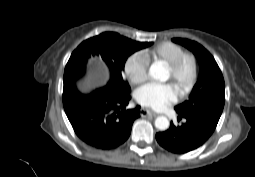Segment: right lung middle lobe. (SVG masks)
I'll return each instance as SVG.
<instances>
[{"label": "right lung middle lobe", "mask_w": 255, "mask_h": 177, "mask_svg": "<svg viewBox=\"0 0 255 177\" xmlns=\"http://www.w3.org/2000/svg\"><path fill=\"white\" fill-rule=\"evenodd\" d=\"M152 42H137L118 33L105 32L82 42L72 53L64 72V82L83 76L87 59L99 57L109 69L110 79L106 86L117 94H128L130 87L123 76L127 58L134 52L151 46Z\"/></svg>", "instance_id": "right-lung-middle-lobe-1"}]
</instances>
